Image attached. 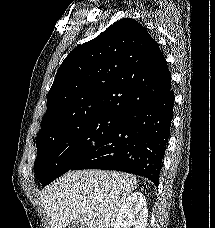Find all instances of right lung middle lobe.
Returning a JSON list of instances; mask_svg holds the SVG:
<instances>
[{"instance_id": "dd1d6c3e", "label": "right lung middle lobe", "mask_w": 215, "mask_h": 228, "mask_svg": "<svg viewBox=\"0 0 215 228\" xmlns=\"http://www.w3.org/2000/svg\"><path fill=\"white\" fill-rule=\"evenodd\" d=\"M122 115L99 114L39 132L34 170L46 186L69 171L120 122Z\"/></svg>"}]
</instances>
